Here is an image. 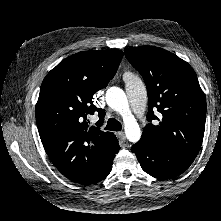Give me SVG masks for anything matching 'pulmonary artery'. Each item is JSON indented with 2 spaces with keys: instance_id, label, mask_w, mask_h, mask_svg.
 Here are the masks:
<instances>
[{
  "instance_id": "e3ab8cb5",
  "label": "pulmonary artery",
  "mask_w": 221,
  "mask_h": 221,
  "mask_svg": "<svg viewBox=\"0 0 221 221\" xmlns=\"http://www.w3.org/2000/svg\"><path fill=\"white\" fill-rule=\"evenodd\" d=\"M126 93L139 121L145 119L144 103L147 96L146 86L138 73L126 72L123 75Z\"/></svg>"
}]
</instances>
